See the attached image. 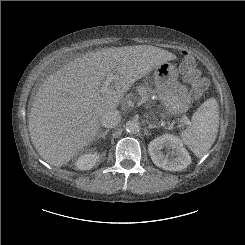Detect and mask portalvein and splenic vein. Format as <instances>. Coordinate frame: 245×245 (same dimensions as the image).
I'll return each instance as SVG.
<instances>
[{"instance_id": "1", "label": "portal vein and splenic vein", "mask_w": 245, "mask_h": 245, "mask_svg": "<svg viewBox=\"0 0 245 245\" xmlns=\"http://www.w3.org/2000/svg\"><path fill=\"white\" fill-rule=\"evenodd\" d=\"M114 79H115V75L109 74V75L107 76L106 80L104 81L102 87H101V92H103V93L106 92V91L109 89L110 84H111V82H112ZM183 123H184L185 125H189V124H190V121H189V119H188L186 116L183 117Z\"/></svg>"}]
</instances>
